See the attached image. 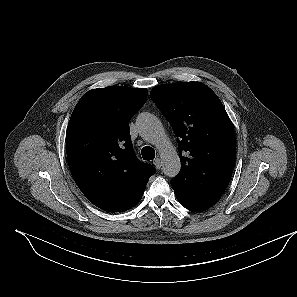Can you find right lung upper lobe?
<instances>
[{
	"label": "right lung upper lobe",
	"mask_w": 297,
	"mask_h": 297,
	"mask_svg": "<svg viewBox=\"0 0 297 297\" xmlns=\"http://www.w3.org/2000/svg\"><path fill=\"white\" fill-rule=\"evenodd\" d=\"M146 99V89H93L71 115L66 132L71 174L87 199L104 211L130 209L156 171L138 161L129 132L130 119Z\"/></svg>",
	"instance_id": "right-lung-upper-lobe-1"
}]
</instances>
